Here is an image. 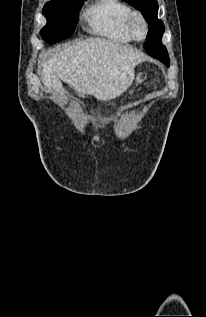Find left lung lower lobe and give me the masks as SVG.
Returning a JSON list of instances; mask_svg holds the SVG:
<instances>
[{
    "label": "left lung lower lobe",
    "instance_id": "obj_1",
    "mask_svg": "<svg viewBox=\"0 0 206 317\" xmlns=\"http://www.w3.org/2000/svg\"><path fill=\"white\" fill-rule=\"evenodd\" d=\"M146 48L149 52L148 54L157 59L161 58L160 51L166 50L165 46L159 41H153V45L147 44Z\"/></svg>",
    "mask_w": 206,
    "mask_h": 317
}]
</instances>
